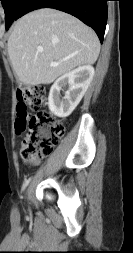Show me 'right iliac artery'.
Returning <instances> with one entry per match:
<instances>
[{"label": "right iliac artery", "instance_id": "82829eb1", "mask_svg": "<svg viewBox=\"0 0 133 253\" xmlns=\"http://www.w3.org/2000/svg\"><path fill=\"white\" fill-rule=\"evenodd\" d=\"M29 181H30V178L25 181V183L23 184L22 190H24L26 188V186L28 185Z\"/></svg>", "mask_w": 133, "mask_h": 253}]
</instances>
